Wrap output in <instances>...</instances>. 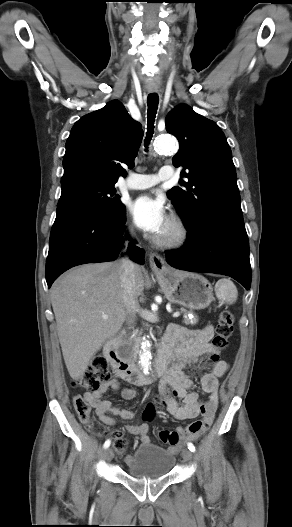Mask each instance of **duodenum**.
Wrapping results in <instances>:
<instances>
[{
    "label": "duodenum",
    "instance_id": "obj_1",
    "mask_svg": "<svg viewBox=\"0 0 292 527\" xmlns=\"http://www.w3.org/2000/svg\"><path fill=\"white\" fill-rule=\"evenodd\" d=\"M105 350L115 371L125 380L135 385L146 384L153 378L164 375L168 370L171 354L167 343H163L159 349L158 357L153 364L152 374L147 376L144 375L132 361L123 356L121 342L118 337L111 339L107 343Z\"/></svg>",
    "mask_w": 292,
    "mask_h": 527
}]
</instances>
